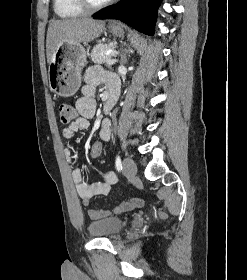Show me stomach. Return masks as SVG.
<instances>
[{
    "label": "stomach",
    "instance_id": "obj_1",
    "mask_svg": "<svg viewBox=\"0 0 247 280\" xmlns=\"http://www.w3.org/2000/svg\"><path fill=\"white\" fill-rule=\"evenodd\" d=\"M115 36L124 33L120 25H110ZM87 53L81 43H60L54 50L49 64L48 79L51 91L60 96L74 95L81 86V70L85 65Z\"/></svg>",
    "mask_w": 247,
    "mask_h": 280
}]
</instances>
